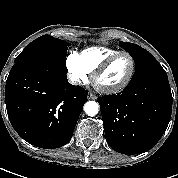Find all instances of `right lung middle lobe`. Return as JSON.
I'll return each mask as SVG.
<instances>
[{"label": "right lung middle lobe", "mask_w": 178, "mask_h": 178, "mask_svg": "<svg viewBox=\"0 0 178 178\" xmlns=\"http://www.w3.org/2000/svg\"><path fill=\"white\" fill-rule=\"evenodd\" d=\"M68 42L43 35L31 43L16 57L14 66L19 64H59L67 72L65 66Z\"/></svg>", "instance_id": "dd1d6c3e"}]
</instances>
